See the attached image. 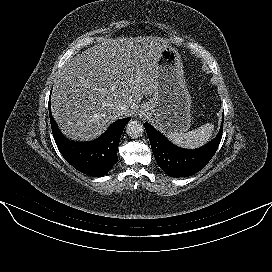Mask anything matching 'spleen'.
I'll list each match as a JSON object with an SVG mask.
<instances>
[{"mask_svg":"<svg viewBox=\"0 0 272 272\" xmlns=\"http://www.w3.org/2000/svg\"><path fill=\"white\" fill-rule=\"evenodd\" d=\"M214 125L206 123L196 130L187 133H168L167 137L175 144L186 147L195 148L205 144L212 136Z\"/></svg>","mask_w":272,"mask_h":272,"instance_id":"obj_1","label":"spleen"}]
</instances>
